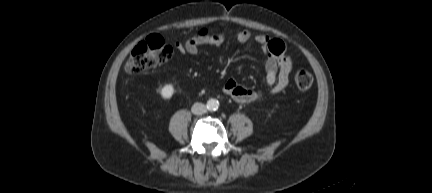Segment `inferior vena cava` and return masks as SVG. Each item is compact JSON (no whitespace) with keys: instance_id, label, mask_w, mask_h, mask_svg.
<instances>
[{"instance_id":"1","label":"inferior vena cava","mask_w":432,"mask_h":193,"mask_svg":"<svg viewBox=\"0 0 432 193\" xmlns=\"http://www.w3.org/2000/svg\"><path fill=\"white\" fill-rule=\"evenodd\" d=\"M191 111L195 115H202L207 112V107L205 104L197 102L193 104Z\"/></svg>"}]
</instances>
